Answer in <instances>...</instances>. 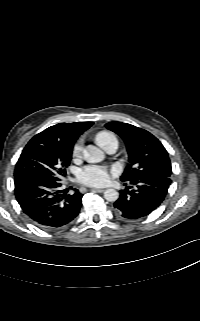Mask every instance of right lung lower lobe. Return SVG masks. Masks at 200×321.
Returning <instances> with one entry per match:
<instances>
[{"mask_svg": "<svg viewBox=\"0 0 200 321\" xmlns=\"http://www.w3.org/2000/svg\"><path fill=\"white\" fill-rule=\"evenodd\" d=\"M16 198L36 224L45 229L66 226L78 215L83 195L67 194L62 184L42 175H23L18 178ZM71 189V187H70Z\"/></svg>", "mask_w": 200, "mask_h": 321, "instance_id": "1", "label": "right lung lower lobe"}]
</instances>
